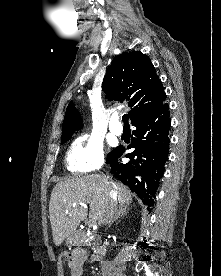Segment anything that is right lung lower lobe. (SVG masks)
<instances>
[{
  "label": "right lung lower lobe",
  "instance_id": "right-lung-lower-lobe-1",
  "mask_svg": "<svg viewBox=\"0 0 221 276\" xmlns=\"http://www.w3.org/2000/svg\"><path fill=\"white\" fill-rule=\"evenodd\" d=\"M135 127L131 145L132 153L126 155L130 161L123 164L118 158L125 148L118 146L107 160L115 177L136 193L143 203L154 205V196L159 180L164 174V165L169 153V106L164 103L151 114L132 122Z\"/></svg>",
  "mask_w": 221,
  "mask_h": 276
}]
</instances>
